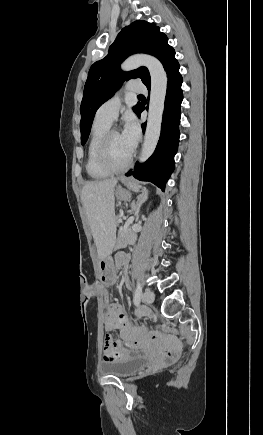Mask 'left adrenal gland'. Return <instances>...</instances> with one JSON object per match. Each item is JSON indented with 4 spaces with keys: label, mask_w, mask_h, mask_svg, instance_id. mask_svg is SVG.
<instances>
[{
    "label": "left adrenal gland",
    "mask_w": 263,
    "mask_h": 435,
    "mask_svg": "<svg viewBox=\"0 0 263 435\" xmlns=\"http://www.w3.org/2000/svg\"><path fill=\"white\" fill-rule=\"evenodd\" d=\"M147 198H148V190L147 189H144L143 191H142V194H140L138 197H137V201L136 202H133V204H132V206H131V211L133 212V214H134V217H135V221H138V219H139V211H140V207H141V205L147 200Z\"/></svg>",
    "instance_id": "left-adrenal-gland-1"
}]
</instances>
